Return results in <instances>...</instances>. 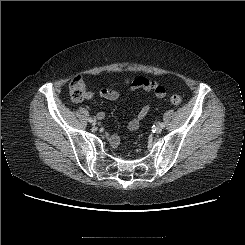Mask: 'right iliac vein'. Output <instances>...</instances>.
<instances>
[{
	"label": "right iliac vein",
	"instance_id": "63e3f726",
	"mask_svg": "<svg viewBox=\"0 0 245 245\" xmlns=\"http://www.w3.org/2000/svg\"><path fill=\"white\" fill-rule=\"evenodd\" d=\"M90 123L93 124V125H95V124H96V120H95V119H92V120L90 121Z\"/></svg>",
	"mask_w": 245,
	"mask_h": 245
}]
</instances>
